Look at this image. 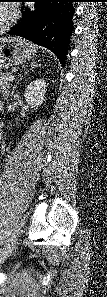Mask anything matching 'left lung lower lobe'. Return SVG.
<instances>
[{
	"mask_svg": "<svg viewBox=\"0 0 107 297\" xmlns=\"http://www.w3.org/2000/svg\"><path fill=\"white\" fill-rule=\"evenodd\" d=\"M23 0L22 2H27ZM33 8L23 11L22 19L8 32L51 50L65 63L73 30L74 0H31Z\"/></svg>",
	"mask_w": 107,
	"mask_h": 297,
	"instance_id": "1",
	"label": "left lung lower lobe"
}]
</instances>
